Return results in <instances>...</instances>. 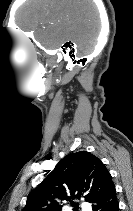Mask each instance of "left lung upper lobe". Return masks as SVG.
<instances>
[{"label": "left lung upper lobe", "mask_w": 133, "mask_h": 211, "mask_svg": "<svg viewBox=\"0 0 133 211\" xmlns=\"http://www.w3.org/2000/svg\"><path fill=\"white\" fill-rule=\"evenodd\" d=\"M112 186V177L96 156L79 151L65 156L53 171L32 191L22 211H61L62 203L70 202L78 211L73 199L85 198L94 203Z\"/></svg>", "instance_id": "left-lung-upper-lobe-1"}]
</instances>
